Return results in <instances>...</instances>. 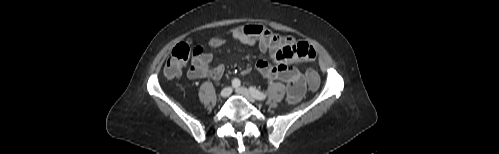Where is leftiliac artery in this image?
<instances>
[{
	"instance_id": "left-iliac-artery-1",
	"label": "left iliac artery",
	"mask_w": 499,
	"mask_h": 154,
	"mask_svg": "<svg viewBox=\"0 0 499 154\" xmlns=\"http://www.w3.org/2000/svg\"><path fill=\"white\" fill-rule=\"evenodd\" d=\"M251 94L258 100H264L266 99L267 95L261 91H259L258 89H256L255 87H250L249 88Z\"/></svg>"
}]
</instances>
